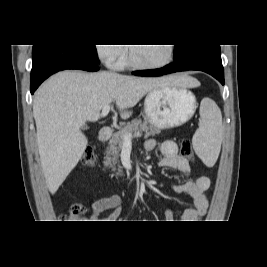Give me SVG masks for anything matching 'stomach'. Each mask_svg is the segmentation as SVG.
Here are the masks:
<instances>
[{
	"instance_id": "1",
	"label": "stomach",
	"mask_w": 267,
	"mask_h": 267,
	"mask_svg": "<svg viewBox=\"0 0 267 267\" xmlns=\"http://www.w3.org/2000/svg\"><path fill=\"white\" fill-rule=\"evenodd\" d=\"M196 110L195 95L186 87L165 86L151 90L144 101L145 119L159 129L186 123Z\"/></svg>"
}]
</instances>
